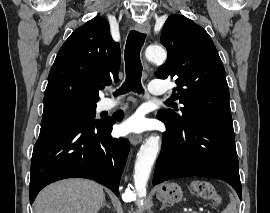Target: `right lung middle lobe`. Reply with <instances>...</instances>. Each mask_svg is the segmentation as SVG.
<instances>
[{
    "instance_id": "obj_1",
    "label": "right lung middle lobe",
    "mask_w": 270,
    "mask_h": 213,
    "mask_svg": "<svg viewBox=\"0 0 270 213\" xmlns=\"http://www.w3.org/2000/svg\"><path fill=\"white\" fill-rule=\"evenodd\" d=\"M96 103L66 100L44 106L43 119L67 118L81 122L97 124L101 120L95 119Z\"/></svg>"
}]
</instances>
